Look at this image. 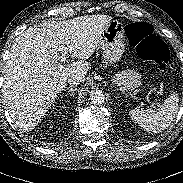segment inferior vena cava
Here are the masks:
<instances>
[{
	"mask_svg": "<svg viewBox=\"0 0 183 183\" xmlns=\"http://www.w3.org/2000/svg\"><path fill=\"white\" fill-rule=\"evenodd\" d=\"M67 81L71 85H78L83 82V77L80 74H72L68 77Z\"/></svg>",
	"mask_w": 183,
	"mask_h": 183,
	"instance_id": "obj_1",
	"label": "inferior vena cava"
}]
</instances>
